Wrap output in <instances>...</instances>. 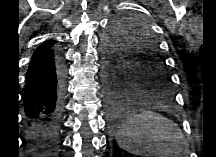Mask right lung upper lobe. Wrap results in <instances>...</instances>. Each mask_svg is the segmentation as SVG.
I'll return each mask as SVG.
<instances>
[{"instance_id": "cb5924a9", "label": "right lung upper lobe", "mask_w": 216, "mask_h": 157, "mask_svg": "<svg viewBox=\"0 0 216 157\" xmlns=\"http://www.w3.org/2000/svg\"><path fill=\"white\" fill-rule=\"evenodd\" d=\"M53 43H54V42L51 41V40H48V41L43 42V43H42L40 46H38V48L35 50V52L33 53L32 58L38 57V56L42 55L43 53L52 50L51 47H52Z\"/></svg>"}]
</instances>
